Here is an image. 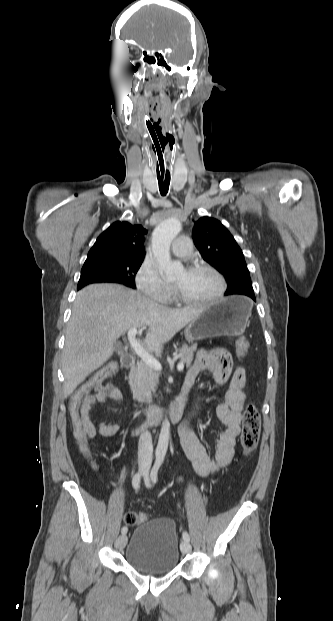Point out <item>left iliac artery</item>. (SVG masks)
Returning <instances> with one entry per match:
<instances>
[{"label":"left iliac artery","instance_id":"obj_1","mask_svg":"<svg viewBox=\"0 0 333 621\" xmlns=\"http://www.w3.org/2000/svg\"><path fill=\"white\" fill-rule=\"evenodd\" d=\"M163 461H164V456L163 455H159L157 457L153 467H152V470H151L150 478H151L152 483H156L158 481V471H159ZM146 485L150 486V483H149L148 480H146ZM182 537H183L184 541H187V542L190 541V536H189V534L186 531L183 532Z\"/></svg>","mask_w":333,"mask_h":621}]
</instances>
